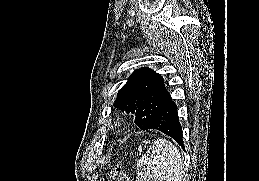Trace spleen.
<instances>
[{"label":"spleen","mask_w":259,"mask_h":181,"mask_svg":"<svg viewBox=\"0 0 259 181\" xmlns=\"http://www.w3.org/2000/svg\"><path fill=\"white\" fill-rule=\"evenodd\" d=\"M142 166L138 181H184L182 156L168 140H156L147 155L137 161V169Z\"/></svg>","instance_id":"obj_1"}]
</instances>
